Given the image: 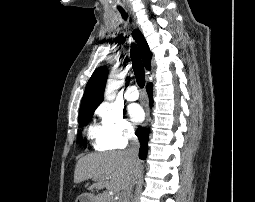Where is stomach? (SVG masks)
<instances>
[{
	"label": "stomach",
	"mask_w": 255,
	"mask_h": 202,
	"mask_svg": "<svg viewBox=\"0 0 255 202\" xmlns=\"http://www.w3.org/2000/svg\"><path fill=\"white\" fill-rule=\"evenodd\" d=\"M75 202H95V197L92 195L83 194L77 197Z\"/></svg>",
	"instance_id": "obj_1"
}]
</instances>
